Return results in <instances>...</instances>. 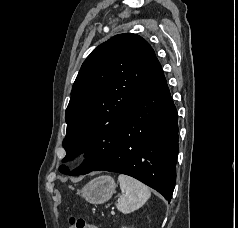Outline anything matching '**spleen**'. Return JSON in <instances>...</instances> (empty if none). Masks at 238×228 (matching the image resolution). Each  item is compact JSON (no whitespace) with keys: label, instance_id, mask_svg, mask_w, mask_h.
Masks as SVG:
<instances>
[{"label":"spleen","instance_id":"obj_1","mask_svg":"<svg viewBox=\"0 0 238 228\" xmlns=\"http://www.w3.org/2000/svg\"><path fill=\"white\" fill-rule=\"evenodd\" d=\"M118 181L122 194L116 207L123 214L139 209L151 196L149 188L133 177L121 174L118 176Z\"/></svg>","mask_w":238,"mask_h":228}]
</instances>
